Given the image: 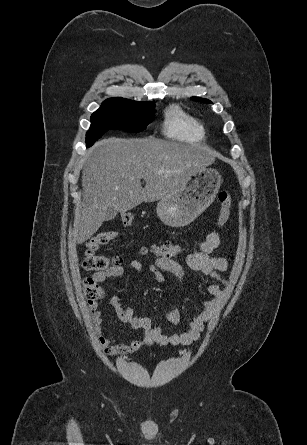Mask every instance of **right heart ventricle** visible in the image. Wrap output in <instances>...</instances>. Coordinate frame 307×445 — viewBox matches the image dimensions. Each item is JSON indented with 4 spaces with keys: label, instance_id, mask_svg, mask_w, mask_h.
<instances>
[{
    "label": "right heart ventricle",
    "instance_id": "obj_1",
    "mask_svg": "<svg viewBox=\"0 0 307 445\" xmlns=\"http://www.w3.org/2000/svg\"><path fill=\"white\" fill-rule=\"evenodd\" d=\"M165 133L181 140L199 139L204 135V128L194 117L174 107L167 112Z\"/></svg>",
    "mask_w": 307,
    "mask_h": 445
}]
</instances>
